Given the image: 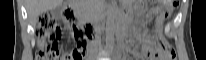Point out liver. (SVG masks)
I'll use <instances>...</instances> for the list:
<instances>
[{
    "instance_id": "obj_1",
    "label": "liver",
    "mask_w": 206,
    "mask_h": 60,
    "mask_svg": "<svg viewBox=\"0 0 206 60\" xmlns=\"http://www.w3.org/2000/svg\"><path fill=\"white\" fill-rule=\"evenodd\" d=\"M64 0H27L30 23L34 26L39 15L62 5Z\"/></svg>"
}]
</instances>
